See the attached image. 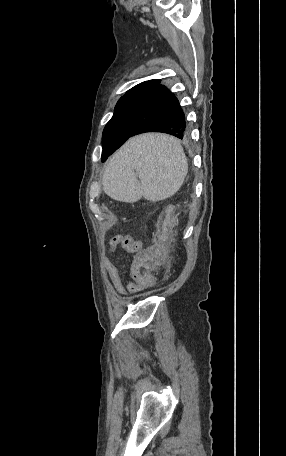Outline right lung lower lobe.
<instances>
[{
  "mask_svg": "<svg viewBox=\"0 0 286 456\" xmlns=\"http://www.w3.org/2000/svg\"><path fill=\"white\" fill-rule=\"evenodd\" d=\"M129 137L149 131L165 132L183 139L187 122L178 99L164 85L151 84L121 99Z\"/></svg>",
  "mask_w": 286,
  "mask_h": 456,
  "instance_id": "right-lung-lower-lobe-1",
  "label": "right lung lower lobe"
}]
</instances>
